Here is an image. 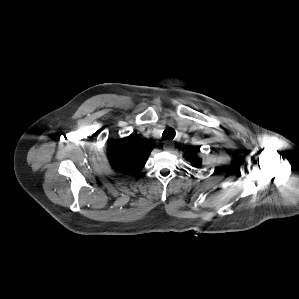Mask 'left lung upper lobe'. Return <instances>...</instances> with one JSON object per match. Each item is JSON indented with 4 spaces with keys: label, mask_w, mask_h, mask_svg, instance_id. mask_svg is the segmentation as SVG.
Masks as SVG:
<instances>
[{
    "label": "left lung upper lobe",
    "mask_w": 299,
    "mask_h": 299,
    "mask_svg": "<svg viewBox=\"0 0 299 299\" xmlns=\"http://www.w3.org/2000/svg\"><path fill=\"white\" fill-rule=\"evenodd\" d=\"M195 156H196V152L191 151V152L187 153L186 158L188 160H193V164L195 166H199L201 164V160L195 159Z\"/></svg>",
    "instance_id": "5c2ea615"
}]
</instances>
